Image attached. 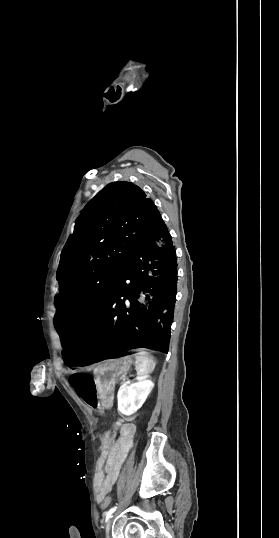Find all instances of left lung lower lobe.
<instances>
[{"instance_id": "0a47b994", "label": "left lung lower lobe", "mask_w": 279, "mask_h": 538, "mask_svg": "<svg viewBox=\"0 0 279 538\" xmlns=\"http://www.w3.org/2000/svg\"><path fill=\"white\" fill-rule=\"evenodd\" d=\"M176 260L171 235L159 216L126 262L90 327L60 335L66 365L86 366L133 348L168 353Z\"/></svg>"}]
</instances>
